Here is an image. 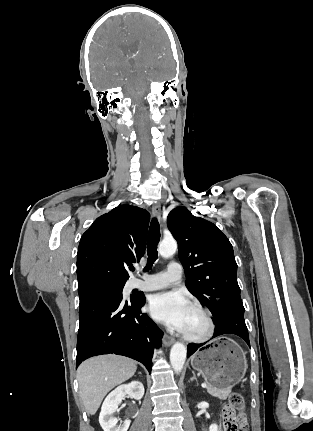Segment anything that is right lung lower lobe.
Returning <instances> with one entry per match:
<instances>
[{
    "instance_id": "98d812e1",
    "label": "right lung lower lobe",
    "mask_w": 313,
    "mask_h": 431,
    "mask_svg": "<svg viewBox=\"0 0 313 431\" xmlns=\"http://www.w3.org/2000/svg\"><path fill=\"white\" fill-rule=\"evenodd\" d=\"M79 298L76 368L92 356L114 353L141 362L150 372L163 332L140 311L144 295L124 301L122 290L96 287L80 292Z\"/></svg>"
}]
</instances>
